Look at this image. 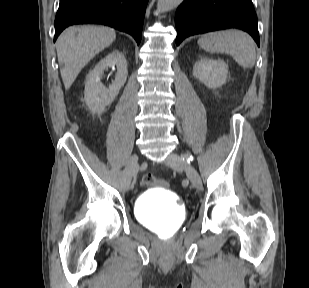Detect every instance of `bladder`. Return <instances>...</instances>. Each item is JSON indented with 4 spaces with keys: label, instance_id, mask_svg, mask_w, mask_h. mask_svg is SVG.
Segmentation results:
<instances>
[{
    "label": "bladder",
    "instance_id": "bladder-1",
    "mask_svg": "<svg viewBox=\"0 0 309 288\" xmlns=\"http://www.w3.org/2000/svg\"><path fill=\"white\" fill-rule=\"evenodd\" d=\"M138 222L156 232L178 230L186 217L177 196L153 187L139 195L134 204Z\"/></svg>",
    "mask_w": 309,
    "mask_h": 288
}]
</instances>
